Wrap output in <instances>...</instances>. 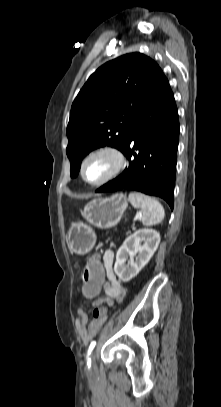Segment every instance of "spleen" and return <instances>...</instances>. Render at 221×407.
Returning <instances> with one entry per match:
<instances>
[{"label":"spleen","mask_w":221,"mask_h":407,"mask_svg":"<svg viewBox=\"0 0 221 407\" xmlns=\"http://www.w3.org/2000/svg\"><path fill=\"white\" fill-rule=\"evenodd\" d=\"M128 199L134 208H140L137 215L144 225H155L164 219V208L155 198L140 192H131Z\"/></svg>","instance_id":"spleen-1"}]
</instances>
